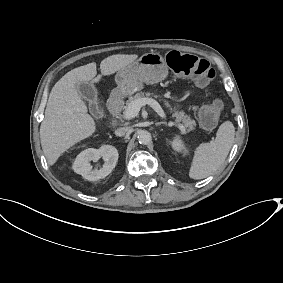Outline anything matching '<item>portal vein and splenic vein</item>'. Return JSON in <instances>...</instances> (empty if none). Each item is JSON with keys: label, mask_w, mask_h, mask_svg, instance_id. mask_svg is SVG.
<instances>
[{"label": "portal vein and splenic vein", "mask_w": 283, "mask_h": 283, "mask_svg": "<svg viewBox=\"0 0 283 283\" xmlns=\"http://www.w3.org/2000/svg\"><path fill=\"white\" fill-rule=\"evenodd\" d=\"M146 104L150 105L160 118L164 120L167 119V115L160 104L156 100L150 98H144L142 100L130 103L123 112L122 119L126 121L135 118L138 115L141 106ZM169 125H173V123L171 122Z\"/></svg>", "instance_id": "18ae733b"}]
</instances>
